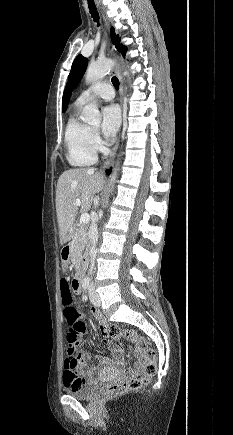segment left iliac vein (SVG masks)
<instances>
[{
    "label": "left iliac vein",
    "instance_id": "left-iliac-vein-1",
    "mask_svg": "<svg viewBox=\"0 0 233 435\" xmlns=\"http://www.w3.org/2000/svg\"><path fill=\"white\" fill-rule=\"evenodd\" d=\"M89 297L92 304L95 306H100L101 300L99 295L96 293L94 286L91 284L89 287Z\"/></svg>",
    "mask_w": 233,
    "mask_h": 435
}]
</instances>
